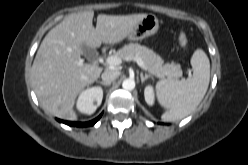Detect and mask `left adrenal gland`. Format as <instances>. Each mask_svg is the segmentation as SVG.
<instances>
[{
    "label": "left adrenal gland",
    "instance_id": "a2214340",
    "mask_svg": "<svg viewBox=\"0 0 248 165\" xmlns=\"http://www.w3.org/2000/svg\"><path fill=\"white\" fill-rule=\"evenodd\" d=\"M140 78H141V82H142V84L145 82V80H147L148 78H153L150 74H143V73H141L140 74Z\"/></svg>",
    "mask_w": 248,
    "mask_h": 165
}]
</instances>
